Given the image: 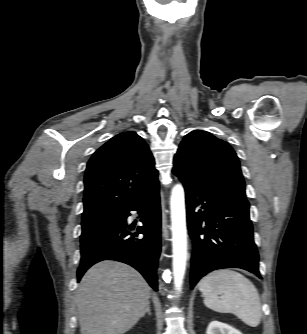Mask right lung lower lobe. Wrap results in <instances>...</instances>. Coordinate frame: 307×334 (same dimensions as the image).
<instances>
[{"label":"right lung lower lobe","instance_id":"obj_1","mask_svg":"<svg viewBox=\"0 0 307 334\" xmlns=\"http://www.w3.org/2000/svg\"><path fill=\"white\" fill-rule=\"evenodd\" d=\"M132 210L140 213L141 222L144 224L136 233L130 232L132 228L127 226L126 221ZM160 227L159 186L156 185L118 213L113 223L81 243L78 281L95 263L116 260L137 269L157 291L156 269L161 250ZM139 233L144 234L143 239L136 238Z\"/></svg>","mask_w":307,"mask_h":334}]
</instances>
